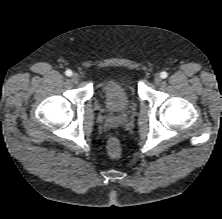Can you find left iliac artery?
<instances>
[{
	"label": "left iliac artery",
	"mask_w": 222,
	"mask_h": 219,
	"mask_svg": "<svg viewBox=\"0 0 222 219\" xmlns=\"http://www.w3.org/2000/svg\"><path fill=\"white\" fill-rule=\"evenodd\" d=\"M161 77L164 79V78H166L167 76H168V73L167 72H165V71H163V72H161Z\"/></svg>",
	"instance_id": "44dca946"
}]
</instances>
